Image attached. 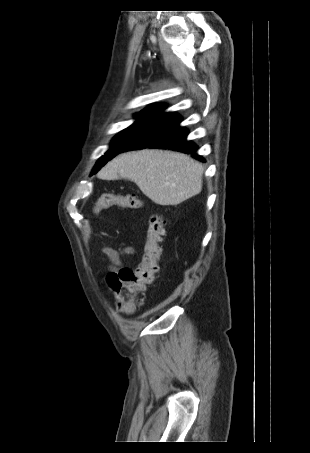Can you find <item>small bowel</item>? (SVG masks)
Listing matches in <instances>:
<instances>
[{"label":"small bowel","instance_id":"small-bowel-1","mask_svg":"<svg viewBox=\"0 0 310 453\" xmlns=\"http://www.w3.org/2000/svg\"><path fill=\"white\" fill-rule=\"evenodd\" d=\"M102 250L115 266L122 263V257L134 254V249L130 246L123 247L120 250H116L110 246H104Z\"/></svg>","mask_w":310,"mask_h":453}]
</instances>
